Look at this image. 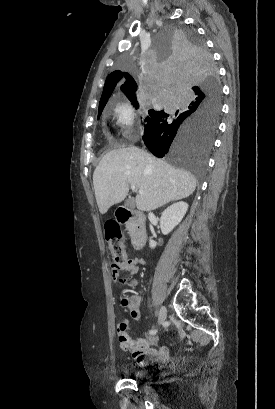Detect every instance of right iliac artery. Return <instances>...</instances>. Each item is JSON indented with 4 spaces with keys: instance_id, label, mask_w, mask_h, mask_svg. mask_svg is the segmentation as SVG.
Instances as JSON below:
<instances>
[{
    "instance_id": "1",
    "label": "right iliac artery",
    "mask_w": 275,
    "mask_h": 409,
    "mask_svg": "<svg viewBox=\"0 0 275 409\" xmlns=\"http://www.w3.org/2000/svg\"><path fill=\"white\" fill-rule=\"evenodd\" d=\"M156 332H157L156 330L152 331V333H156Z\"/></svg>"
}]
</instances>
